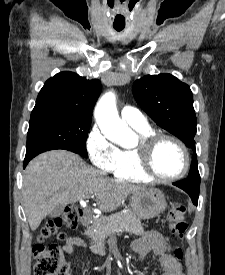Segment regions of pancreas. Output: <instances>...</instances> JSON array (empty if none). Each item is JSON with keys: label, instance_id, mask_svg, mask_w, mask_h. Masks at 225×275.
Here are the masks:
<instances>
[{"label": "pancreas", "instance_id": "pancreas-1", "mask_svg": "<svg viewBox=\"0 0 225 275\" xmlns=\"http://www.w3.org/2000/svg\"><path fill=\"white\" fill-rule=\"evenodd\" d=\"M130 232L140 235L144 232L140 219L133 213H115L106 218L93 222L86 234L92 239L91 250L93 253L104 255V240L120 232Z\"/></svg>", "mask_w": 225, "mask_h": 275}]
</instances>
